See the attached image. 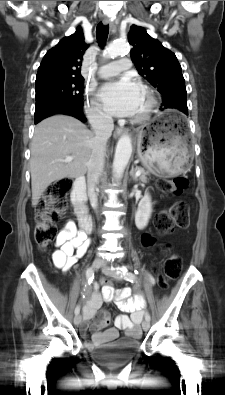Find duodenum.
I'll return each instance as SVG.
<instances>
[{
    "label": "duodenum",
    "instance_id": "obj_1",
    "mask_svg": "<svg viewBox=\"0 0 225 395\" xmlns=\"http://www.w3.org/2000/svg\"><path fill=\"white\" fill-rule=\"evenodd\" d=\"M71 200L78 216L81 228L90 232L92 230V219L86 207V182L83 177H78L74 181Z\"/></svg>",
    "mask_w": 225,
    "mask_h": 395
}]
</instances>
